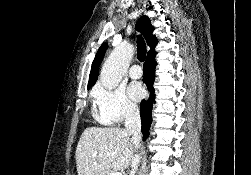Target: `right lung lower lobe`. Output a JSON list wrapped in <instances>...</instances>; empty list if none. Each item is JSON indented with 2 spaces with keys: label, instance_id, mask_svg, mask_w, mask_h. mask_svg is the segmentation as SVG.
<instances>
[{
  "label": "right lung lower lobe",
  "instance_id": "obj_1",
  "mask_svg": "<svg viewBox=\"0 0 251 175\" xmlns=\"http://www.w3.org/2000/svg\"><path fill=\"white\" fill-rule=\"evenodd\" d=\"M155 66L156 62L146 60L144 64V78L143 81L146 83L148 90L150 91V98L148 101L142 100L140 105V115H141V122H142V134L144 139H146L149 135L148 131L150 128V124L152 123V106L154 101V88H153V81L155 78Z\"/></svg>",
  "mask_w": 251,
  "mask_h": 175
}]
</instances>
